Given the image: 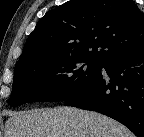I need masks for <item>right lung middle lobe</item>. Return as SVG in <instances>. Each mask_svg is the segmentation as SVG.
<instances>
[{"instance_id": "obj_1", "label": "right lung middle lobe", "mask_w": 144, "mask_h": 137, "mask_svg": "<svg viewBox=\"0 0 144 137\" xmlns=\"http://www.w3.org/2000/svg\"><path fill=\"white\" fill-rule=\"evenodd\" d=\"M103 64L84 58L37 61L15 67L8 104L66 101L102 74Z\"/></svg>"}]
</instances>
